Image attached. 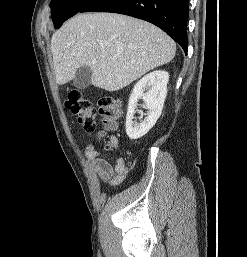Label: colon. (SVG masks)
<instances>
[{
	"label": "colon",
	"instance_id": "colon-1",
	"mask_svg": "<svg viewBox=\"0 0 247 257\" xmlns=\"http://www.w3.org/2000/svg\"><path fill=\"white\" fill-rule=\"evenodd\" d=\"M65 104L77 116L84 129L89 131L95 128L96 116L100 115L103 130L97 134L98 139L103 138L105 131L115 129L122 115L119 101L109 93L103 94L95 107L92 101L79 90L71 89L67 94ZM106 146L111 148L110 140Z\"/></svg>",
	"mask_w": 247,
	"mask_h": 257
}]
</instances>
